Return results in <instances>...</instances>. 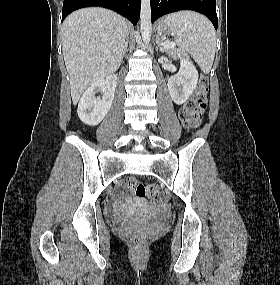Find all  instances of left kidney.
Masks as SVG:
<instances>
[{
  "label": "left kidney",
  "instance_id": "5707ae66",
  "mask_svg": "<svg viewBox=\"0 0 280 285\" xmlns=\"http://www.w3.org/2000/svg\"><path fill=\"white\" fill-rule=\"evenodd\" d=\"M198 82V71L189 59L181 58L179 72L168 79V90L174 103L181 105L192 95Z\"/></svg>",
  "mask_w": 280,
  "mask_h": 285
}]
</instances>
